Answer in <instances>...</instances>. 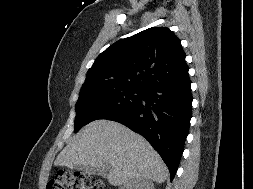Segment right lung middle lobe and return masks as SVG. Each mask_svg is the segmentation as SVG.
Masks as SVG:
<instances>
[{"label":"right lung middle lobe","instance_id":"1","mask_svg":"<svg viewBox=\"0 0 253 189\" xmlns=\"http://www.w3.org/2000/svg\"><path fill=\"white\" fill-rule=\"evenodd\" d=\"M144 91L125 86H108L80 93L76 103L75 130L97 120L106 119L135 106Z\"/></svg>","mask_w":253,"mask_h":189}]
</instances>
